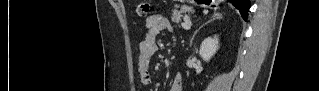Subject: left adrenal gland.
Masks as SVG:
<instances>
[{
    "instance_id": "1",
    "label": "left adrenal gland",
    "mask_w": 319,
    "mask_h": 91,
    "mask_svg": "<svg viewBox=\"0 0 319 91\" xmlns=\"http://www.w3.org/2000/svg\"><path fill=\"white\" fill-rule=\"evenodd\" d=\"M216 19H222V14L214 13L213 16H212V18H211L210 20H208L205 24H202V25L194 32V34H193V36H192V38H191V43H192V41H193L195 35L197 34V32H199V30H200L201 28H203V26H205L206 24H208V23H210L211 21H214V20H216Z\"/></svg>"
}]
</instances>
